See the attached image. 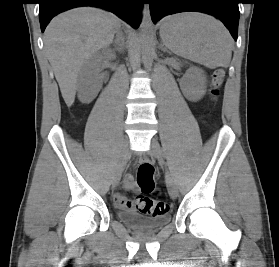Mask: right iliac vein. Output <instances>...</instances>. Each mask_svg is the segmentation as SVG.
I'll list each match as a JSON object with an SVG mask.
<instances>
[{
    "label": "right iliac vein",
    "mask_w": 279,
    "mask_h": 267,
    "mask_svg": "<svg viewBox=\"0 0 279 267\" xmlns=\"http://www.w3.org/2000/svg\"><path fill=\"white\" fill-rule=\"evenodd\" d=\"M128 154H129V141L126 139L121 147V150L119 152V156H118V163H117V167H116V171L113 177V187H116L121 179V174L123 171V168L125 166V163L127 161L128 158Z\"/></svg>",
    "instance_id": "right-iliac-vein-1"
}]
</instances>
